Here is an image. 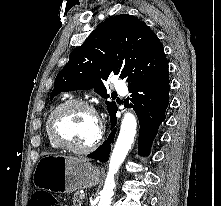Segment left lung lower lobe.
Here are the masks:
<instances>
[{"mask_svg": "<svg viewBox=\"0 0 221 206\" xmlns=\"http://www.w3.org/2000/svg\"><path fill=\"white\" fill-rule=\"evenodd\" d=\"M169 74L168 68L138 84L128 87L130 97L127 105L132 107L139 119V154L148 155L154 137L161 122L165 119V111L169 103ZM117 108L111 115V129L108 139L88 157L106 162L116 133Z\"/></svg>", "mask_w": 221, "mask_h": 206, "instance_id": "obj_1", "label": "left lung lower lobe"}]
</instances>
